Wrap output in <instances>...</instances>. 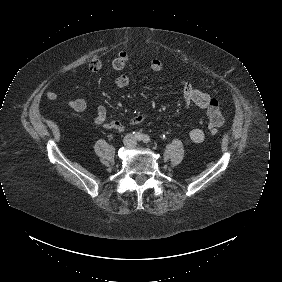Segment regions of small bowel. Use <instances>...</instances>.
<instances>
[{
    "label": "small bowel",
    "mask_w": 282,
    "mask_h": 282,
    "mask_svg": "<svg viewBox=\"0 0 282 282\" xmlns=\"http://www.w3.org/2000/svg\"><path fill=\"white\" fill-rule=\"evenodd\" d=\"M129 61V54L127 51H121L118 56L112 61V67L114 70L121 71L123 70ZM150 68L154 72H160L163 69V63L159 59H152L149 62ZM88 69L93 72H99L102 69V61L98 58H93L89 65ZM77 69L71 71L72 74H76ZM130 83V77L127 74H122L117 77L114 81V84L117 87H125ZM181 89L184 97V107L188 108L190 105H196L200 108L208 107L210 103V96L198 89H196L189 81H181ZM47 97L50 100H55L57 98V93L53 88L48 89ZM68 106L77 112H82L87 108V101L82 98L70 99L67 102ZM148 115L146 113H139L131 117L127 123H123L115 120H108V110L107 107L98 103L96 105V113L94 117V123L103 127L107 130H114L122 132L127 125H138L146 121ZM189 138L194 143H202L205 140V133L200 128H193L189 131Z\"/></svg>",
    "instance_id": "obj_1"
}]
</instances>
